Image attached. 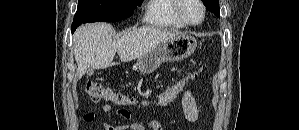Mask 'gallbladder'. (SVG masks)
<instances>
[{
    "mask_svg": "<svg viewBox=\"0 0 299 130\" xmlns=\"http://www.w3.org/2000/svg\"><path fill=\"white\" fill-rule=\"evenodd\" d=\"M93 74H94V69H92V68H88L87 71H86V75H87V76H91V75H93Z\"/></svg>",
    "mask_w": 299,
    "mask_h": 130,
    "instance_id": "obj_1",
    "label": "gallbladder"
}]
</instances>
